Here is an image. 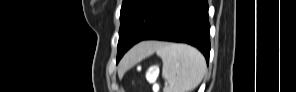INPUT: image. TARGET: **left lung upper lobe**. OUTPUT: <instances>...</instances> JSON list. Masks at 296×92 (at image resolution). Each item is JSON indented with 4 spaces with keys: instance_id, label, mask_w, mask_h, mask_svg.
Segmentation results:
<instances>
[{
    "instance_id": "5c2ea615",
    "label": "left lung upper lobe",
    "mask_w": 296,
    "mask_h": 92,
    "mask_svg": "<svg viewBox=\"0 0 296 92\" xmlns=\"http://www.w3.org/2000/svg\"><path fill=\"white\" fill-rule=\"evenodd\" d=\"M170 0H123L117 62L134 44L143 40L159 23Z\"/></svg>"
}]
</instances>
